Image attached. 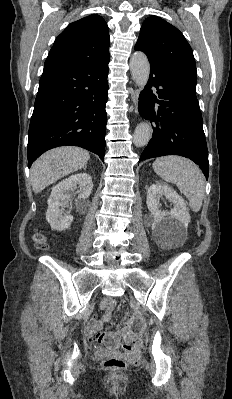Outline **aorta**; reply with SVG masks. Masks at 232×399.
Here are the masks:
<instances>
[{
  "label": "aorta",
  "instance_id": "obj_1",
  "mask_svg": "<svg viewBox=\"0 0 232 399\" xmlns=\"http://www.w3.org/2000/svg\"><path fill=\"white\" fill-rule=\"evenodd\" d=\"M130 71L136 84L144 87L149 79L150 65L147 56L140 51L133 54L130 59ZM152 135V128L148 122H141L135 128L133 143L136 147H143L148 144Z\"/></svg>",
  "mask_w": 232,
  "mask_h": 399
}]
</instances>
